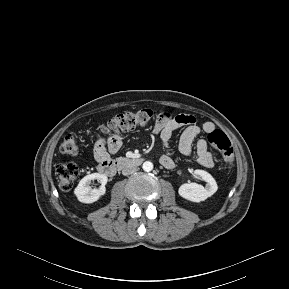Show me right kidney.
I'll use <instances>...</instances> for the list:
<instances>
[{
  "instance_id": "ca27d5eb",
  "label": "right kidney",
  "mask_w": 289,
  "mask_h": 289,
  "mask_svg": "<svg viewBox=\"0 0 289 289\" xmlns=\"http://www.w3.org/2000/svg\"><path fill=\"white\" fill-rule=\"evenodd\" d=\"M92 180L101 183L99 188L92 189L90 184ZM108 178L104 174L92 173L83 177L74 190L77 199L82 203H93L106 193L105 185Z\"/></svg>"
}]
</instances>
